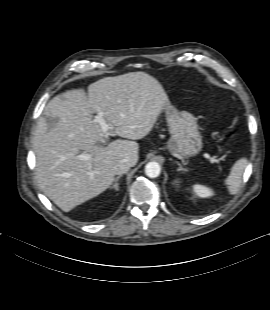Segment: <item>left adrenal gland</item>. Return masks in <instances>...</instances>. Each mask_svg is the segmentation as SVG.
Here are the masks:
<instances>
[{"label": "left adrenal gland", "mask_w": 270, "mask_h": 310, "mask_svg": "<svg viewBox=\"0 0 270 310\" xmlns=\"http://www.w3.org/2000/svg\"><path fill=\"white\" fill-rule=\"evenodd\" d=\"M175 163H177V165L179 166L178 171H187V169L183 168L179 162L175 161Z\"/></svg>", "instance_id": "1"}]
</instances>
